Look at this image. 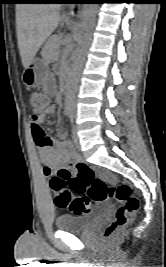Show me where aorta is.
Listing matches in <instances>:
<instances>
[{"instance_id":"762f6f07","label":"aorta","mask_w":166,"mask_h":267,"mask_svg":"<svg viewBox=\"0 0 166 267\" xmlns=\"http://www.w3.org/2000/svg\"><path fill=\"white\" fill-rule=\"evenodd\" d=\"M97 3H83L78 27V48L75 51L71 71L66 87V108L73 110L75 107L76 92L79 77L83 68L85 51L92 37L95 26Z\"/></svg>"}]
</instances>
